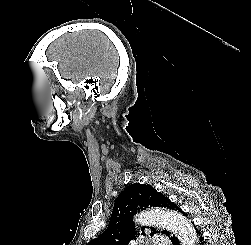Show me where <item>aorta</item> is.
Masks as SVG:
<instances>
[{"label": "aorta", "instance_id": "762f6f07", "mask_svg": "<svg viewBox=\"0 0 251 245\" xmlns=\"http://www.w3.org/2000/svg\"><path fill=\"white\" fill-rule=\"evenodd\" d=\"M141 225H153L173 232L181 245H196L197 235L192 223L177 212L153 208L141 212L136 217Z\"/></svg>", "mask_w": 251, "mask_h": 245}]
</instances>
